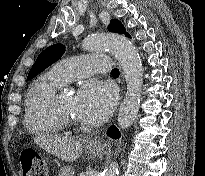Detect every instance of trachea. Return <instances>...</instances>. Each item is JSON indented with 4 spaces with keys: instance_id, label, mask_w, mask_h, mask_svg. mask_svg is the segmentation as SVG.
Masks as SVG:
<instances>
[{
    "instance_id": "obj_1",
    "label": "trachea",
    "mask_w": 205,
    "mask_h": 176,
    "mask_svg": "<svg viewBox=\"0 0 205 176\" xmlns=\"http://www.w3.org/2000/svg\"><path fill=\"white\" fill-rule=\"evenodd\" d=\"M111 74H119V70L114 68L112 69Z\"/></svg>"
}]
</instances>
